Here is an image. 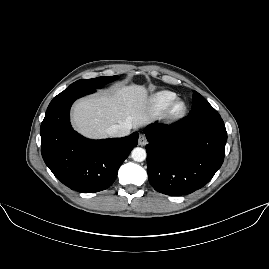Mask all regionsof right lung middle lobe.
I'll use <instances>...</instances> for the list:
<instances>
[{
  "label": "right lung middle lobe",
  "mask_w": 269,
  "mask_h": 269,
  "mask_svg": "<svg viewBox=\"0 0 269 269\" xmlns=\"http://www.w3.org/2000/svg\"><path fill=\"white\" fill-rule=\"evenodd\" d=\"M117 79V76H101L93 79H81L69 86L71 89H96L102 87L104 84L108 82H112Z\"/></svg>",
  "instance_id": "obj_1"
}]
</instances>
